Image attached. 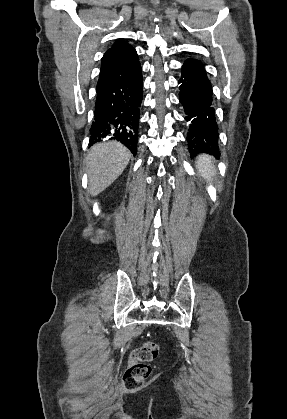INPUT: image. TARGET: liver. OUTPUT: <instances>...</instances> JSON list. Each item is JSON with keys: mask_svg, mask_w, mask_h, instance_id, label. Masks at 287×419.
<instances>
[{"mask_svg": "<svg viewBox=\"0 0 287 419\" xmlns=\"http://www.w3.org/2000/svg\"><path fill=\"white\" fill-rule=\"evenodd\" d=\"M130 158V151L119 142L94 145L86 158L90 194L96 196L110 186L122 174Z\"/></svg>", "mask_w": 287, "mask_h": 419, "instance_id": "obj_1", "label": "liver"}]
</instances>
